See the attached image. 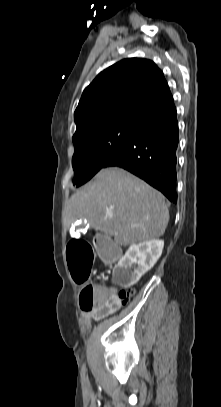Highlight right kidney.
Returning a JSON list of instances; mask_svg holds the SVG:
<instances>
[{
    "label": "right kidney",
    "instance_id": "ca27d5eb",
    "mask_svg": "<svg viewBox=\"0 0 221 407\" xmlns=\"http://www.w3.org/2000/svg\"><path fill=\"white\" fill-rule=\"evenodd\" d=\"M164 241L153 239L132 244L113 270L118 283L128 288L136 284L148 272L162 254ZM136 264L134 270H130Z\"/></svg>",
    "mask_w": 221,
    "mask_h": 407
}]
</instances>
